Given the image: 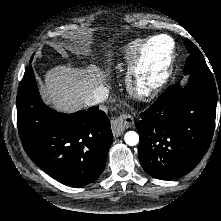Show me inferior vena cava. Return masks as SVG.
<instances>
[{
    "label": "inferior vena cava",
    "instance_id": "obj_1",
    "mask_svg": "<svg viewBox=\"0 0 221 221\" xmlns=\"http://www.w3.org/2000/svg\"><path fill=\"white\" fill-rule=\"evenodd\" d=\"M109 96V89L104 86H98L91 91L85 98L87 106H93L104 102Z\"/></svg>",
    "mask_w": 221,
    "mask_h": 221
}]
</instances>
